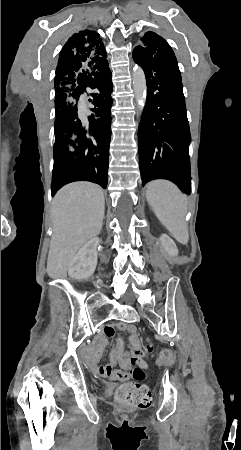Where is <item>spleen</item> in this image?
Segmentation results:
<instances>
[{"label": "spleen", "instance_id": "spleen-1", "mask_svg": "<svg viewBox=\"0 0 241 450\" xmlns=\"http://www.w3.org/2000/svg\"><path fill=\"white\" fill-rule=\"evenodd\" d=\"M146 200L173 238L186 246L189 240L185 222L186 194H182L181 190L168 180H154L146 186Z\"/></svg>", "mask_w": 241, "mask_h": 450}]
</instances>
